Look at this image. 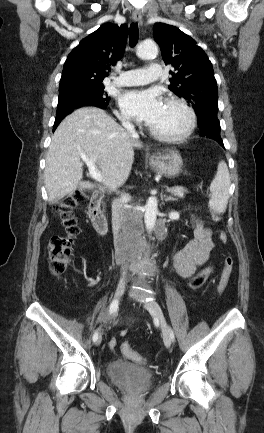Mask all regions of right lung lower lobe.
<instances>
[{"label": "right lung lower lobe", "instance_id": "98d812e1", "mask_svg": "<svg viewBox=\"0 0 264 433\" xmlns=\"http://www.w3.org/2000/svg\"><path fill=\"white\" fill-rule=\"evenodd\" d=\"M79 105V107H74V109H77V108H80V107H83V106H94V107H99V108H102V109H105L106 108V105H104V104H102V103H99V102H97V101H88V102H83V103H80V104H78ZM73 109V110H74ZM72 110V111H73ZM71 111V112H72ZM70 112V113H71ZM69 114V113H68ZM67 114V115H68ZM66 116V115H65ZM65 116H63V117H58V118H56L55 119V123H54V127H53V131H55V129L57 128V126L59 125V123L62 121V119L65 117Z\"/></svg>", "mask_w": 264, "mask_h": 433}]
</instances>
